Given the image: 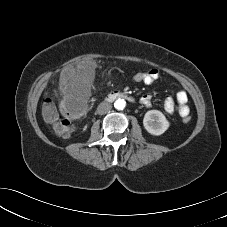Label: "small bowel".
Wrapping results in <instances>:
<instances>
[{
	"instance_id": "obj_1",
	"label": "small bowel",
	"mask_w": 227,
	"mask_h": 227,
	"mask_svg": "<svg viewBox=\"0 0 227 227\" xmlns=\"http://www.w3.org/2000/svg\"><path fill=\"white\" fill-rule=\"evenodd\" d=\"M160 76V72L157 69H150L146 72V78L144 80V84L151 85L153 84ZM151 95L145 94L141 97V103L146 106H151ZM164 110L167 114H173L174 112H178L180 115L182 113H189L190 108L188 105V96L185 91H179L176 94V98H172L170 96L166 97L164 101Z\"/></svg>"
}]
</instances>
